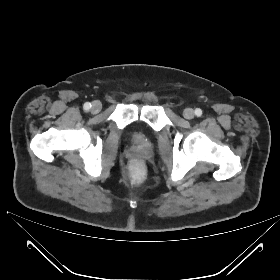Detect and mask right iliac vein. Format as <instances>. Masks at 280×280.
Returning a JSON list of instances; mask_svg holds the SVG:
<instances>
[{"instance_id": "1", "label": "right iliac vein", "mask_w": 280, "mask_h": 280, "mask_svg": "<svg viewBox=\"0 0 280 280\" xmlns=\"http://www.w3.org/2000/svg\"><path fill=\"white\" fill-rule=\"evenodd\" d=\"M102 109V104L100 101H94L91 106V111L93 113H98Z\"/></svg>"}]
</instances>
